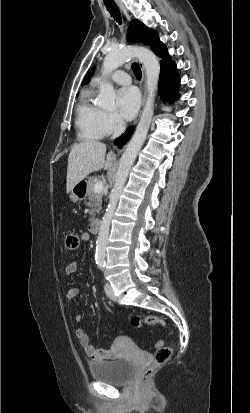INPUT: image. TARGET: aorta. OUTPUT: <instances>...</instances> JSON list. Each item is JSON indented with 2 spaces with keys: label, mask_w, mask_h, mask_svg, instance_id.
Masks as SVG:
<instances>
[{
  "label": "aorta",
  "mask_w": 250,
  "mask_h": 413,
  "mask_svg": "<svg viewBox=\"0 0 250 413\" xmlns=\"http://www.w3.org/2000/svg\"><path fill=\"white\" fill-rule=\"evenodd\" d=\"M131 58H138L143 63L147 75V98L135 133L120 159L116 181L111 190L109 203L99 228L95 254L97 265H104L105 263L106 243L109 235L111 220L114 216L120 194L127 180L131 166L133 165L136 156L146 139L151 124L160 74V65L156 55L152 51L143 47H130L117 51H110L105 56L103 61V74H110ZM115 95L113 85L109 82L104 83L101 86L98 98L99 106L105 109L113 108L115 105Z\"/></svg>",
  "instance_id": "obj_1"
}]
</instances>
